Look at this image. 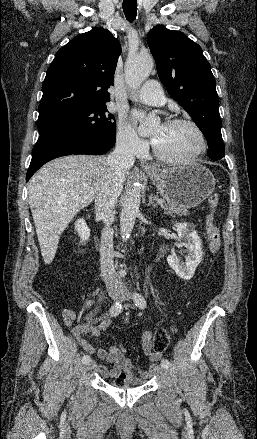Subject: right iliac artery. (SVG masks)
Returning a JSON list of instances; mask_svg holds the SVG:
<instances>
[{"label": "right iliac artery", "mask_w": 257, "mask_h": 439, "mask_svg": "<svg viewBox=\"0 0 257 439\" xmlns=\"http://www.w3.org/2000/svg\"><path fill=\"white\" fill-rule=\"evenodd\" d=\"M121 309H122V305H121V303H120L119 301H117V302H115V303L111 306V308H110V314H111L112 316H117V315L121 312ZM90 360H91V358H90L89 355H84V356L82 357V362H83L84 364H85V363H88Z\"/></svg>", "instance_id": "right-iliac-artery-1"}]
</instances>
